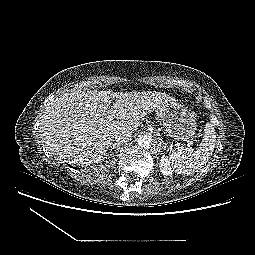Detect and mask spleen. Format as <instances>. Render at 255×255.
<instances>
[{
  "label": "spleen",
  "mask_w": 255,
  "mask_h": 255,
  "mask_svg": "<svg viewBox=\"0 0 255 255\" xmlns=\"http://www.w3.org/2000/svg\"><path fill=\"white\" fill-rule=\"evenodd\" d=\"M204 137L197 149L178 147L171 153L172 165L178 174H193L209 161L216 142V133L211 122L205 125Z\"/></svg>",
  "instance_id": "3e777b00"
}]
</instances>
